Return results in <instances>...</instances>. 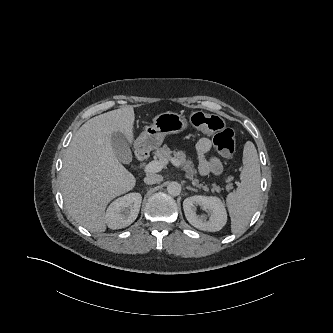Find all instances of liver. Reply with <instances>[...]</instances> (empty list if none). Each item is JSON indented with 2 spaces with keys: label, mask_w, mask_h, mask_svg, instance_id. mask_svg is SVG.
Returning a JSON list of instances; mask_svg holds the SVG:
<instances>
[{
  "label": "liver",
  "mask_w": 333,
  "mask_h": 333,
  "mask_svg": "<svg viewBox=\"0 0 333 333\" xmlns=\"http://www.w3.org/2000/svg\"><path fill=\"white\" fill-rule=\"evenodd\" d=\"M132 106L95 116L73 136L61 170L68 214L90 232L106 230L105 209L115 197L133 189L135 177L114 154L111 136L122 133L136 147Z\"/></svg>",
  "instance_id": "liver-1"
}]
</instances>
